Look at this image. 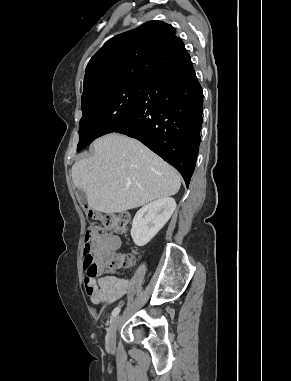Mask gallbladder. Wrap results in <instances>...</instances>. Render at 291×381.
Listing matches in <instances>:
<instances>
[{"label": "gallbladder", "instance_id": "bac80fb5", "mask_svg": "<svg viewBox=\"0 0 291 381\" xmlns=\"http://www.w3.org/2000/svg\"><path fill=\"white\" fill-rule=\"evenodd\" d=\"M77 194L79 196V200L81 203L86 204L87 203V195L84 190L78 189Z\"/></svg>", "mask_w": 291, "mask_h": 381}]
</instances>
